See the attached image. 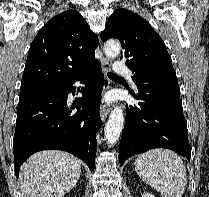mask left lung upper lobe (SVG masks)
<instances>
[{"mask_svg":"<svg viewBox=\"0 0 209 197\" xmlns=\"http://www.w3.org/2000/svg\"><path fill=\"white\" fill-rule=\"evenodd\" d=\"M100 36L103 41L119 39L135 84L178 85L165 43L139 15L126 9L115 10Z\"/></svg>","mask_w":209,"mask_h":197,"instance_id":"obj_1","label":"left lung upper lobe"}]
</instances>
